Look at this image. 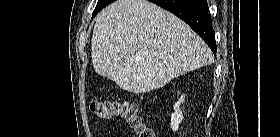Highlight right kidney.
Returning a JSON list of instances; mask_svg holds the SVG:
<instances>
[{"label":"right kidney","instance_id":"right-kidney-1","mask_svg":"<svg viewBox=\"0 0 280 137\" xmlns=\"http://www.w3.org/2000/svg\"><path fill=\"white\" fill-rule=\"evenodd\" d=\"M185 95H181L179 100L174 105V112L171 115V128L176 131L178 130L179 123L183 119L182 111L180 110L181 103L184 102Z\"/></svg>","mask_w":280,"mask_h":137}]
</instances>
